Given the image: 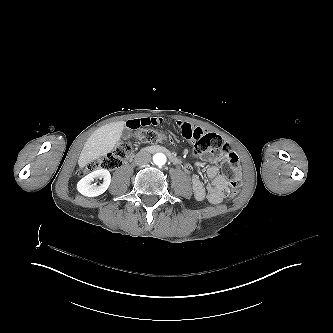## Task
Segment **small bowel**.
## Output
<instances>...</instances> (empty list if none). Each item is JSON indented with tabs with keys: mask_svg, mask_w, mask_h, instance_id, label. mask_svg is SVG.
Listing matches in <instances>:
<instances>
[{
	"mask_svg": "<svg viewBox=\"0 0 333 333\" xmlns=\"http://www.w3.org/2000/svg\"><path fill=\"white\" fill-rule=\"evenodd\" d=\"M129 127H144V126H159L164 123V119L161 117H142L138 119L128 120L126 122ZM177 125L182 128V130H187L189 132H198L203 133L200 128H194L187 123L177 122ZM182 164L181 158L177 157ZM207 159H214L217 162L224 160L225 156L219 154L214 158L207 156ZM183 169L187 174H190L192 171V166L188 163L183 164ZM207 176L210 181L207 184H204L202 180L197 177H192V188L194 196L197 200L202 201L206 197L210 203L218 205L222 203L225 197L230 193L229 182L225 175L219 173L218 165H211L207 168Z\"/></svg>",
	"mask_w": 333,
	"mask_h": 333,
	"instance_id": "1",
	"label": "small bowel"
}]
</instances>
